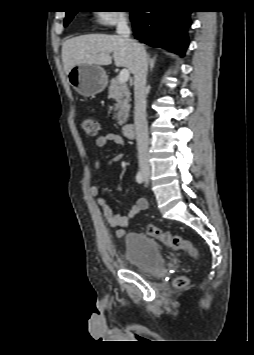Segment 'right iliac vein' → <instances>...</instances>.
<instances>
[{"mask_svg": "<svg viewBox=\"0 0 254 355\" xmlns=\"http://www.w3.org/2000/svg\"><path fill=\"white\" fill-rule=\"evenodd\" d=\"M143 173H144V175L149 174V172L147 170H143Z\"/></svg>", "mask_w": 254, "mask_h": 355, "instance_id": "1", "label": "right iliac vein"}]
</instances>
